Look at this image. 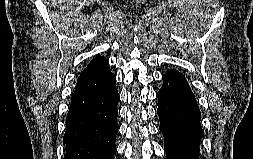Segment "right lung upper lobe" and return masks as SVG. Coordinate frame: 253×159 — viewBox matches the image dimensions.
Here are the masks:
<instances>
[{
  "mask_svg": "<svg viewBox=\"0 0 253 159\" xmlns=\"http://www.w3.org/2000/svg\"><path fill=\"white\" fill-rule=\"evenodd\" d=\"M108 64V61L106 58H104L103 56H97L95 57L90 63L89 65L81 72L80 77L85 76L87 74H90L92 72H95L101 68H103L104 66H106Z\"/></svg>",
  "mask_w": 253,
  "mask_h": 159,
  "instance_id": "obj_1",
  "label": "right lung upper lobe"
}]
</instances>
